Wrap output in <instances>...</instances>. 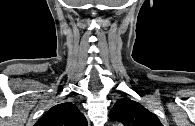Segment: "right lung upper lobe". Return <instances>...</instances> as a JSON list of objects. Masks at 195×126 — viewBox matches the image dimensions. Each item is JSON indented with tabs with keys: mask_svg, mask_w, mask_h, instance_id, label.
Masks as SVG:
<instances>
[{
	"mask_svg": "<svg viewBox=\"0 0 195 126\" xmlns=\"http://www.w3.org/2000/svg\"><path fill=\"white\" fill-rule=\"evenodd\" d=\"M35 126H87V120L72 102L52 107Z\"/></svg>",
	"mask_w": 195,
	"mask_h": 126,
	"instance_id": "cb5924a9",
	"label": "right lung upper lobe"
}]
</instances>
